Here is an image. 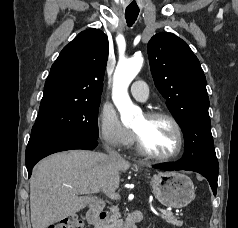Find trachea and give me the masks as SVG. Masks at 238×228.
I'll list each match as a JSON object with an SVG mask.
<instances>
[{
  "instance_id": "1",
  "label": "trachea",
  "mask_w": 238,
  "mask_h": 228,
  "mask_svg": "<svg viewBox=\"0 0 238 228\" xmlns=\"http://www.w3.org/2000/svg\"><path fill=\"white\" fill-rule=\"evenodd\" d=\"M139 14V10H126L125 12V18L128 26H132L134 22L136 21Z\"/></svg>"
}]
</instances>
